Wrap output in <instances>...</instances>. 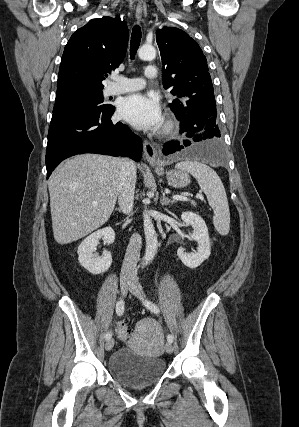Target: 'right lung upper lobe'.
Here are the masks:
<instances>
[{
    "label": "right lung upper lobe",
    "mask_w": 299,
    "mask_h": 427,
    "mask_svg": "<svg viewBox=\"0 0 299 427\" xmlns=\"http://www.w3.org/2000/svg\"><path fill=\"white\" fill-rule=\"evenodd\" d=\"M129 32L120 18L90 20L73 33L59 68L55 102L102 92L106 73L123 61Z\"/></svg>",
    "instance_id": "cb5924a9"
}]
</instances>
